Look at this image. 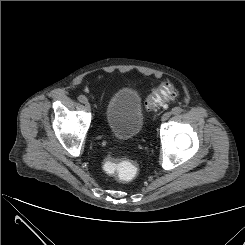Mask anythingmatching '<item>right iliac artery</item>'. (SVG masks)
Here are the masks:
<instances>
[{
  "label": "right iliac artery",
  "mask_w": 245,
  "mask_h": 245,
  "mask_svg": "<svg viewBox=\"0 0 245 245\" xmlns=\"http://www.w3.org/2000/svg\"><path fill=\"white\" fill-rule=\"evenodd\" d=\"M78 99H79V101L82 102V103H84V101L87 100L86 97L83 96V95H80V96L78 97Z\"/></svg>",
  "instance_id": "1"
}]
</instances>
